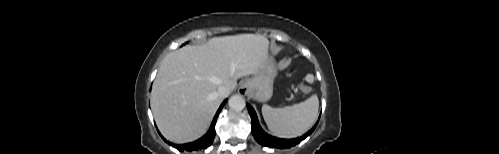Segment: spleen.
<instances>
[{
    "label": "spleen",
    "mask_w": 499,
    "mask_h": 154,
    "mask_svg": "<svg viewBox=\"0 0 499 154\" xmlns=\"http://www.w3.org/2000/svg\"><path fill=\"white\" fill-rule=\"evenodd\" d=\"M318 107V97L313 95L293 106L272 108L263 105L262 115L273 134L282 138H294L310 129L317 118Z\"/></svg>",
    "instance_id": "spleen-1"
}]
</instances>
